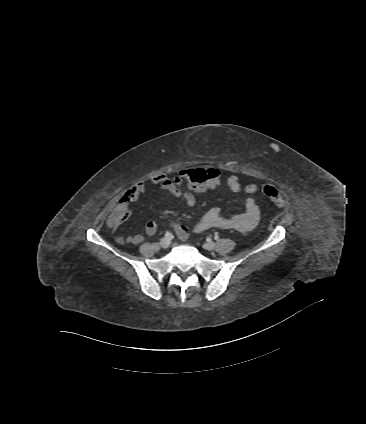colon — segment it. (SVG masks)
Returning a JSON list of instances; mask_svg holds the SVG:
<instances>
[{"label":"colon","mask_w":366,"mask_h":424,"mask_svg":"<svg viewBox=\"0 0 366 424\" xmlns=\"http://www.w3.org/2000/svg\"><path fill=\"white\" fill-rule=\"evenodd\" d=\"M217 174L218 173L213 169H190L182 171L180 177L188 183L189 187L193 189H203L216 178ZM259 189L278 207H285V200L274 186L270 184H263L261 186L250 184L246 186V191L249 193H255ZM118 212L122 218H127L130 214L127 204H120L118 206Z\"/></svg>","instance_id":"5ec220e1"}]
</instances>
